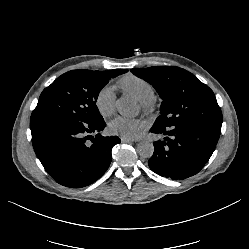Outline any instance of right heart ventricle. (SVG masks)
<instances>
[{
    "instance_id": "obj_1",
    "label": "right heart ventricle",
    "mask_w": 249,
    "mask_h": 249,
    "mask_svg": "<svg viewBox=\"0 0 249 249\" xmlns=\"http://www.w3.org/2000/svg\"><path fill=\"white\" fill-rule=\"evenodd\" d=\"M118 85L139 101H147L155 95L154 87L149 81L131 73L123 75L119 79Z\"/></svg>"
}]
</instances>
